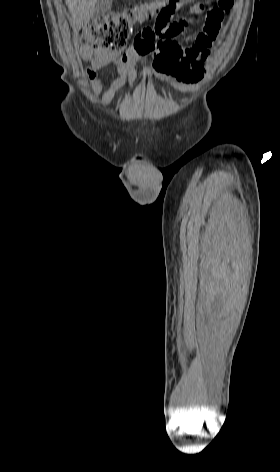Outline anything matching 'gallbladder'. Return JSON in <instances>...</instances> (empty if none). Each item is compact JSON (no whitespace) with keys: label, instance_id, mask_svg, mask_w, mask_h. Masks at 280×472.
I'll list each match as a JSON object with an SVG mask.
<instances>
[{"label":"gallbladder","instance_id":"1","mask_svg":"<svg viewBox=\"0 0 280 472\" xmlns=\"http://www.w3.org/2000/svg\"><path fill=\"white\" fill-rule=\"evenodd\" d=\"M113 0H96L94 15H101L110 10Z\"/></svg>","mask_w":280,"mask_h":472}]
</instances>
